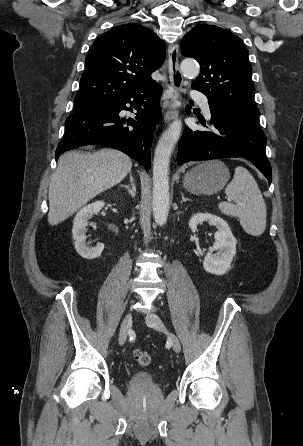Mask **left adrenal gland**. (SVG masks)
<instances>
[{
  "label": "left adrenal gland",
  "instance_id": "1",
  "mask_svg": "<svg viewBox=\"0 0 303 446\" xmlns=\"http://www.w3.org/2000/svg\"><path fill=\"white\" fill-rule=\"evenodd\" d=\"M181 197H182L181 203L186 202V201H190L189 198H185L183 192H181Z\"/></svg>",
  "mask_w": 303,
  "mask_h": 446
}]
</instances>
